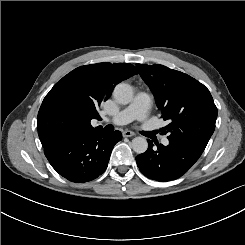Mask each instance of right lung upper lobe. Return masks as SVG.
Segmentation results:
<instances>
[{"instance_id": "cb5924a9", "label": "right lung upper lobe", "mask_w": 245, "mask_h": 245, "mask_svg": "<svg viewBox=\"0 0 245 245\" xmlns=\"http://www.w3.org/2000/svg\"><path fill=\"white\" fill-rule=\"evenodd\" d=\"M138 74L129 63H98L78 67L57 82L44 98L37 117L43 147L72 135L92 132L98 108L121 81Z\"/></svg>"}]
</instances>
